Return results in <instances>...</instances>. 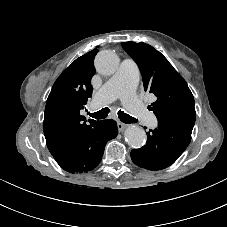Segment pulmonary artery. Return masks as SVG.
I'll return each instance as SVG.
<instances>
[{"instance_id": "e3ab8cb5", "label": "pulmonary artery", "mask_w": 227, "mask_h": 227, "mask_svg": "<svg viewBox=\"0 0 227 227\" xmlns=\"http://www.w3.org/2000/svg\"><path fill=\"white\" fill-rule=\"evenodd\" d=\"M139 81V70L131 59H124L117 72L96 92L90 109L101 108L116 98H121L123 104L131 111L140 123L156 126L155 116L135 96Z\"/></svg>"}]
</instances>
